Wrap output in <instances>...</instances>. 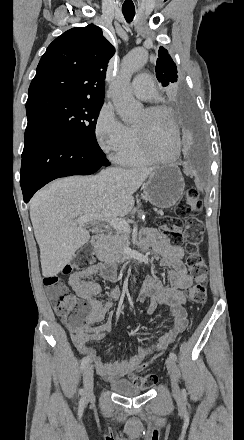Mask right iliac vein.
Segmentation results:
<instances>
[{"mask_svg":"<svg viewBox=\"0 0 244 440\" xmlns=\"http://www.w3.org/2000/svg\"><path fill=\"white\" fill-rule=\"evenodd\" d=\"M84 398L86 401L93 397L94 376L92 365H87L83 373Z\"/></svg>","mask_w":244,"mask_h":440,"instance_id":"obj_1","label":"right iliac vein"}]
</instances>
